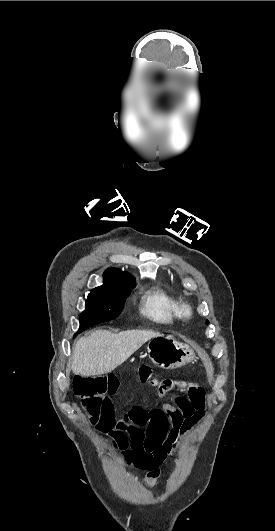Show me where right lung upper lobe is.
<instances>
[{
	"mask_svg": "<svg viewBox=\"0 0 275 531\" xmlns=\"http://www.w3.org/2000/svg\"><path fill=\"white\" fill-rule=\"evenodd\" d=\"M133 282L134 278L129 273L110 268L104 273V284L102 286H126Z\"/></svg>",
	"mask_w": 275,
	"mask_h": 531,
	"instance_id": "obj_1",
	"label": "right lung upper lobe"
}]
</instances>
